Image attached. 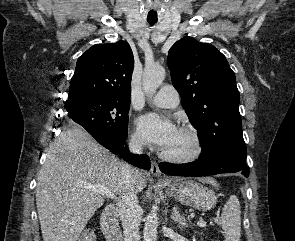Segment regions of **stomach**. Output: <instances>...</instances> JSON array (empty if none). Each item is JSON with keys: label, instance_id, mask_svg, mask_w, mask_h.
I'll return each mask as SVG.
<instances>
[{"label": "stomach", "instance_id": "1", "mask_svg": "<svg viewBox=\"0 0 295 241\" xmlns=\"http://www.w3.org/2000/svg\"><path fill=\"white\" fill-rule=\"evenodd\" d=\"M165 185L167 194L195 209L210 210L217 203L214 192L196 181L177 179L168 181Z\"/></svg>", "mask_w": 295, "mask_h": 241}]
</instances>
